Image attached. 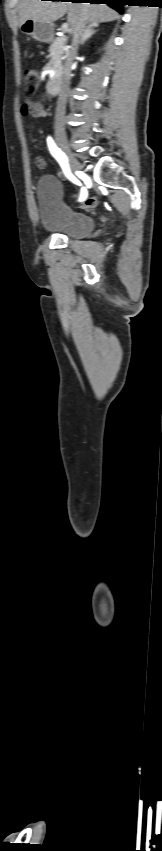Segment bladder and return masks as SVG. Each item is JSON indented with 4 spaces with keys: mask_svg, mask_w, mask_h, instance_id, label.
Wrapping results in <instances>:
<instances>
[{
    "mask_svg": "<svg viewBox=\"0 0 162 851\" xmlns=\"http://www.w3.org/2000/svg\"><path fill=\"white\" fill-rule=\"evenodd\" d=\"M36 197L41 225L46 232L83 239L93 231L94 219L64 200L62 185L56 177H41L36 185Z\"/></svg>",
    "mask_w": 162,
    "mask_h": 851,
    "instance_id": "obj_1",
    "label": "bladder"
}]
</instances>
